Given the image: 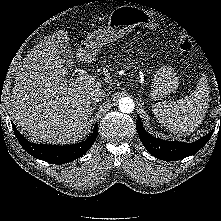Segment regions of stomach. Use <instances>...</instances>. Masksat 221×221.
I'll list each match as a JSON object with an SVG mask.
<instances>
[{
    "instance_id": "obj_1",
    "label": "stomach",
    "mask_w": 221,
    "mask_h": 221,
    "mask_svg": "<svg viewBox=\"0 0 221 221\" xmlns=\"http://www.w3.org/2000/svg\"><path fill=\"white\" fill-rule=\"evenodd\" d=\"M139 25L155 28L156 22L149 13L138 7L127 5L117 7L109 16L108 26L88 33L79 49L95 55L104 45L123 38ZM178 84L174 69L162 66L154 74L150 96L154 100L162 99L174 92Z\"/></svg>"
}]
</instances>
